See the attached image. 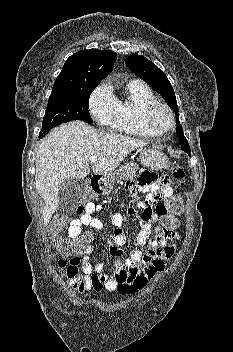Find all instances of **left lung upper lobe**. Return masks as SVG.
<instances>
[{"instance_id":"1","label":"left lung upper lobe","mask_w":233,"mask_h":352,"mask_svg":"<svg viewBox=\"0 0 233 352\" xmlns=\"http://www.w3.org/2000/svg\"><path fill=\"white\" fill-rule=\"evenodd\" d=\"M126 66L142 80L149 84L166 101L168 106L175 112L177 117V135L181 149L187 154H191L186 137L183 134L182 126L179 122L178 106L174 89L167 76L155 66L150 60L141 55H131L125 59Z\"/></svg>"}]
</instances>
